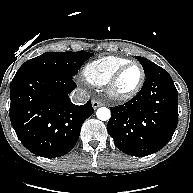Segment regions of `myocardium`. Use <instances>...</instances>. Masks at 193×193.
<instances>
[{
	"mask_svg": "<svg viewBox=\"0 0 193 193\" xmlns=\"http://www.w3.org/2000/svg\"><path fill=\"white\" fill-rule=\"evenodd\" d=\"M132 66H137L140 69L141 72V77L140 80L138 82V84L136 85V87L127 92V93H120L117 90V85H118V81L120 79V77L122 76V74L130 67ZM145 79H146V74H145V70L143 68V66L136 61H130L126 64H124L123 66H121L120 68H118L113 75L110 77L109 81L106 84V90H107V94L109 95V97L116 101V102H126L131 100L132 98H134L142 89L144 83H145Z\"/></svg>",
	"mask_w": 193,
	"mask_h": 193,
	"instance_id": "1",
	"label": "myocardium"
}]
</instances>
